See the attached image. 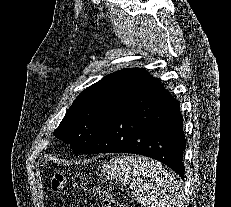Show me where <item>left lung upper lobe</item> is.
Listing matches in <instances>:
<instances>
[{
    "label": "left lung upper lobe",
    "instance_id": "1",
    "mask_svg": "<svg viewBox=\"0 0 231 207\" xmlns=\"http://www.w3.org/2000/svg\"><path fill=\"white\" fill-rule=\"evenodd\" d=\"M149 78V73L140 68L123 69L103 77L79 94L53 134L70 144L74 153H84L110 118Z\"/></svg>",
    "mask_w": 231,
    "mask_h": 207
}]
</instances>
